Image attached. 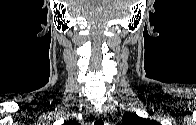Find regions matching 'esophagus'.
Here are the masks:
<instances>
[{"instance_id":"esophagus-1","label":"esophagus","mask_w":196,"mask_h":125,"mask_svg":"<svg viewBox=\"0 0 196 125\" xmlns=\"http://www.w3.org/2000/svg\"><path fill=\"white\" fill-rule=\"evenodd\" d=\"M97 117H98V119L104 120L106 115H105L104 112L100 111V112L97 113ZM104 123H105V125H109V123L107 121H105Z\"/></svg>"}]
</instances>
